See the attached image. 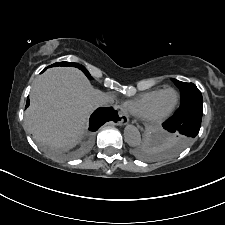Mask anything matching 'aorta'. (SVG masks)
<instances>
[{
	"instance_id": "1",
	"label": "aorta",
	"mask_w": 225,
	"mask_h": 225,
	"mask_svg": "<svg viewBox=\"0 0 225 225\" xmlns=\"http://www.w3.org/2000/svg\"><path fill=\"white\" fill-rule=\"evenodd\" d=\"M124 139L130 146H137L141 142L139 130L133 125H127L124 129Z\"/></svg>"
}]
</instances>
